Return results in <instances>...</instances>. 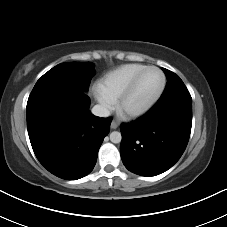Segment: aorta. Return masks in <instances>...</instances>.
Instances as JSON below:
<instances>
[{
  "mask_svg": "<svg viewBox=\"0 0 227 227\" xmlns=\"http://www.w3.org/2000/svg\"><path fill=\"white\" fill-rule=\"evenodd\" d=\"M122 140V136H121V133L118 132V131H113L111 134H110V141L112 143H120Z\"/></svg>",
  "mask_w": 227,
  "mask_h": 227,
  "instance_id": "762f6f07",
  "label": "aorta"
}]
</instances>
